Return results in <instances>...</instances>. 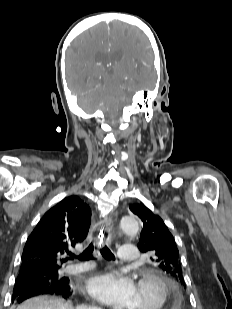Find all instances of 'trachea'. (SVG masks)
Segmentation results:
<instances>
[{"instance_id":"trachea-1","label":"trachea","mask_w":232,"mask_h":309,"mask_svg":"<svg viewBox=\"0 0 232 309\" xmlns=\"http://www.w3.org/2000/svg\"><path fill=\"white\" fill-rule=\"evenodd\" d=\"M93 250H94V246L91 243L79 256L78 259L81 261H86V260H90L93 258ZM100 253L101 255L107 259V260H114L115 256L114 254L110 251V249L108 247H103L102 249H100ZM70 257L74 258L76 257V255L74 253H70L69 254Z\"/></svg>"}]
</instances>
